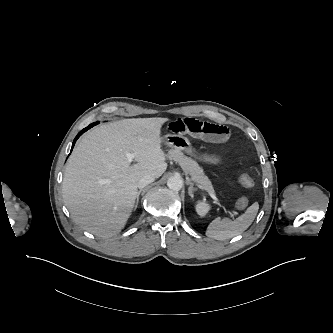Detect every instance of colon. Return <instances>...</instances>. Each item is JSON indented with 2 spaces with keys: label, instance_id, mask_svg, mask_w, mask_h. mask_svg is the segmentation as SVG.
I'll return each instance as SVG.
<instances>
[{
  "label": "colon",
  "instance_id": "1",
  "mask_svg": "<svg viewBox=\"0 0 333 333\" xmlns=\"http://www.w3.org/2000/svg\"><path fill=\"white\" fill-rule=\"evenodd\" d=\"M238 182L241 186L245 188H252L255 185L254 179L247 174L241 175L238 179ZM247 205H248V199L245 197L239 198L236 202V208L239 210L246 208Z\"/></svg>",
  "mask_w": 333,
  "mask_h": 333
}]
</instances>
